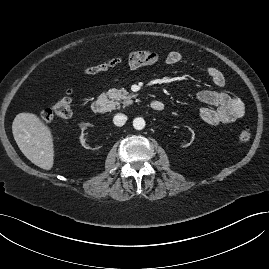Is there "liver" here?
Here are the masks:
<instances>
[{"label":"liver","mask_w":269,"mask_h":269,"mask_svg":"<svg viewBox=\"0 0 269 269\" xmlns=\"http://www.w3.org/2000/svg\"><path fill=\"white\" fill-rule=\"evenodd\" d=\"M12 133L19 149L32 163L45 170L53 167L52 131L36 114H17L12 123Z\"/></svg>","instance_id":"1"}]
</instances>
